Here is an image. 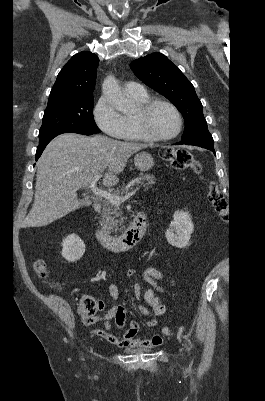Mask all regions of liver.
<instances>
[{
  "label": "liver",
  "instance_id": "liver-1",
  "mask_svg": "<svg viewBox=\"0 0 265 401\" xmlns=\"http://www.w3.org/2000/svg\"><path fill=\"white\" fill-rule=\"evenodd\" d=\"M140 142H122L109 136H82L65 132L47 144L37 162L34 203L23 221V227H45L80 209L77 190L90 184L95 174L108 168L105 186L119 182L126 162L134 152L145 148Z\"/></svg>",
  "mask_w": 265,
  "mask_h": 401
}]
</instances>
